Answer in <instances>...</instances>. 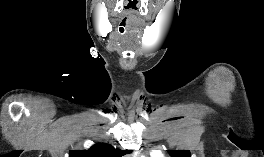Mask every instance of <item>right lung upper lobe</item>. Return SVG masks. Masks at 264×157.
Returning a JSON list of instances; mask_svg holds the SVG:
<instances>
[{
	"label": "right lung upper lobe",
	"instance_id": "obj_1",
	"mask_svg": "<svg viewBox=\"0 0 264 157\" xmlns=\"http://www.w3.org/2000/svg\"><path fill=\"white\" fill-rule=\"evenodd\" d=\"M128 152L115 149L109 144H96L88 150H71L69 157H122Z\"/></svg>",
	"mask_w": 264,
	"mask_h": 157
}]
</instances>
